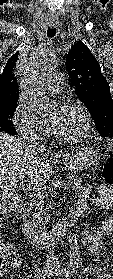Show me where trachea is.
I'll return each mask as SVG.
<instances>
[{"instance_id":"3493384b","label":"trachea","mask_w":113,"mask_h":279,"mask_svg":"<svg viewBox=\"0 0 113 279\" xmlns=\"http://www.w3.org/2000/svg\"><path fill=\"white\" fill-rule=\"evenodd\" d=\"M55 34H56V28H50V27H48L47 35H48L49 37H53V36H55Z\"/></svg>"}]
</instances>
